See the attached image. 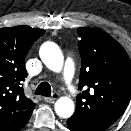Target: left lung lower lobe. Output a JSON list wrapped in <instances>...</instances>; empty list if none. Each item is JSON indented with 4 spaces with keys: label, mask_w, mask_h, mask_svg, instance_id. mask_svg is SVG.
I'll return each instance as SVG.
<instances>
[{
    "label": "left lung lower lobe",
    "mask_w": 131,
    "mask_h": 131,
    "mask_svg": "<svg viewBox=\"0 0 131 131\" xmlns=\"http://www.w3.org/2000/svg\"><path fill=\"white\" fill-rule=\"evenodd\" d=\"M67 126L71 131H95L85 122L73 116L67 120Z\"/></svg>",
    "instance_id": "1"
}]
</instances>
